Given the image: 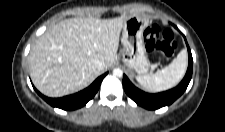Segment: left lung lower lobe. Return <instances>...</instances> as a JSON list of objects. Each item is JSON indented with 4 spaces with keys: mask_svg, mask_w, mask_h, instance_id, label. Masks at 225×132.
<instances>
[{
    "mask_svg": "<svg viewBox=\"0 0 225 132\" xmlns=\"http://www.w3.org/2000/svg\"><path fill=\"white\" fill-rule=\"evenodd\" d=\"M187 48H188V56H189L188 69L184 79L181 81V83L177 87L165 92L157 93V94H148L136 88L129 81L127 76L123 75V87L126 94L138 105L149 110L158 109L173 103L177 98H179L184 93L192 77L193 58H192V54L188 44H187Z\"/></svg>",
    "mask_w": 225,
    "mask_h": 132,
    "instance_id": "1",
    "label": "left lung lower lobe"
}]
</instances>
